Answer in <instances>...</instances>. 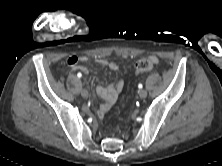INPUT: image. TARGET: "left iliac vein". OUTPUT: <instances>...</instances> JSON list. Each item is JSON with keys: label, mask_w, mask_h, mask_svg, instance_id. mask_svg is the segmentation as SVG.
I'll return each mask as SVG.
<instances>
[{"label": "left iliac vein", "mask_w": 222, "mask_h": 166, "mask_svg": "<svg viewBox=\"0 0 222 166\" xmlns=\"http://www.w3.org/2000/svg\"><path fill=\"white\" fill-rule=\"evenodd\" d=\"M140 98H145L147 96V91L144 89L139 90L138 92Z\"/></svg>", "instance_id": "obj_1"}]
</instances>
